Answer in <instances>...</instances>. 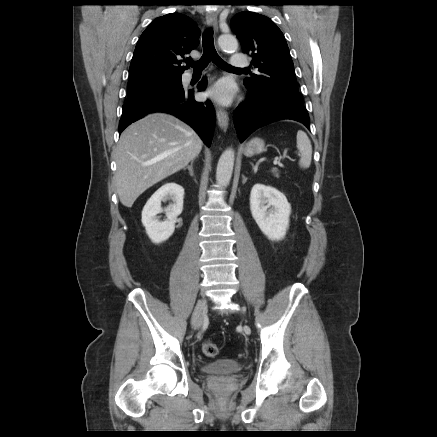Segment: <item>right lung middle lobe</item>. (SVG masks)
Instances as JSON below:
<instances>
[{
    "mask_svg": "<svg viewBox=\"0 0 437 437\" xmlns=\"http://www.w3.org/2000/svg\"><path fill=\"white\" fill-rule=\"evenodd\" d=\"M181 76H148L130 78L127 100L155 92L182 87Z\"/></svg>",
    "mask_w": 437,
    "mask_h": 437,
    "instance_id": "right-lung-middle-lobe-1",
    "label": "right lung middle lobe"
}]
</instances>
